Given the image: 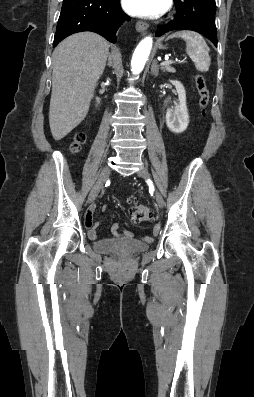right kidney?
Masks as SVG:
<instances>
[{
	"label": "right kidney",
	"instance_id": "right-kidney-1",
	"mask_svg": "<svg viewBox=\"0 0 254 397\" xmlns=\"http://www.w3.org/2000/svg\"><path fill=\"white\" fill-rule=\"evenodd\" d=\"M96 101H97V104H99V103H100V99H99V98H96Z\"/></svg>",
	"mask_w": 254,
	"mask_h": 397
}]
</instances>
